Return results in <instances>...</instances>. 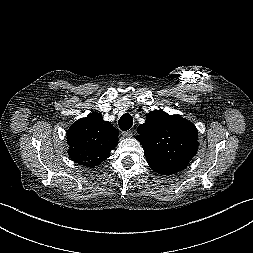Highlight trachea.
<instances>
[{
	"instance_id": "1",
	"label": "trachea",
	"mask_w": 253,
	"mask_h": 253,
	"mask_svg": "<svg viewBox=\"0 0 253 253\" xmlns=\"http://www.w3.org/2000/svg\"><path fill=\"white\" fill-rule=\"evenodd\" d=\"M119 128L123 131L129 130L133 125V118L129 113H126L121 116L119 119Z\"/></svg>"
}]
</instances>
